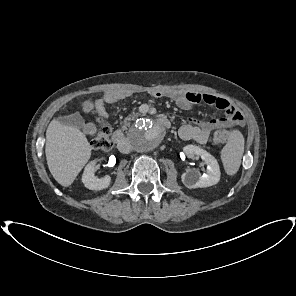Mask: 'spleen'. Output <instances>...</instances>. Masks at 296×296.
<instances>
[{
	"instance_id": "3e777b00",
	"label": "spleen",
	"mask_w": 296,
	"mask_h": 296,
	"mask_svg": "<svg viewBox=\"0 0 296 296\" xmlns=\"http://www.w3.org/2000/svg\"><path fill=\"white\" fill-rule=\"evenodd\" d=\"M245 140L239 130L230 133L226 145L221 150V160L228 175L237 173L244 153Z\"/></svg>"
}]
</instances>
